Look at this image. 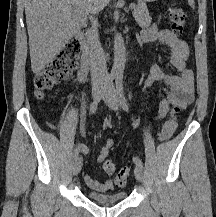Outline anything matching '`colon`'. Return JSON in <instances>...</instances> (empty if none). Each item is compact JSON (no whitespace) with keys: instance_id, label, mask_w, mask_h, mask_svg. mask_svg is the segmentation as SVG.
<instances>
[{"instance_id":"colon-1","label":"colon","mask_w":216,"mask_h":217,"mask_svg":"<svg viewBox=\"0 0 216 217\" xmlns=\"http://www.w3.org/2000/svg\"><path fill=\"white\" fill-rule=\"evenodd\" d=\"M169 21L171 29L175 34H182L186 24V14L179 6H172L169 9ZM81 45L77 40L69 41L65 47L34 77L35 96L42 99L46 91L51 89L61 80H66L73 74L78 61ZM179 108H175L171 118L166 120L159 132V140L166 141L174 134L178 126L177 114ZM113 127V119L107 118L103 122V128L109 130ZM103 169L107 173L114 172V165L111 160L104 163ZM129 168L124 167L117 171L115 181L118 185L126 183Z\"/></svg>"}]
</instances>
